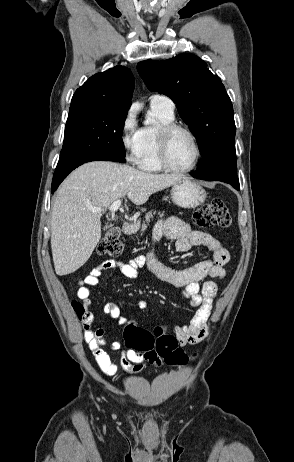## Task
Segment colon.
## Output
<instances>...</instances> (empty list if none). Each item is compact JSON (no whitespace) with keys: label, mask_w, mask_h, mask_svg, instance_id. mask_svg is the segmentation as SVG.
Wrapping results in <instances>:
<instances>
[{"label":"colon","mask_w":294,"mask_h":462,"mask_svg":"<svg viewBox=\"0 0 294 462\" xmlns=\"http://www.w3.org/2000/svg\"><path fill=\"white\" fill-rule=\"evenodd\" d=\"M193 221L201 228L228 227L231 224V216L225 203L216 198L198 208L193 214ZM122 250L119 229L110 227L99 242L97 252L100 255L116 257L121 254ZM72 306L75 312L82 316L83 304L73 301ZM124 339L127 347L143 352L150 363L177 366L189 361V356L179 347L177 338L167 334L163 328L157 327L154 332H149L130 324L124 330Z\"/></svg>","instance_id":"obj_1"}]
</instances>
